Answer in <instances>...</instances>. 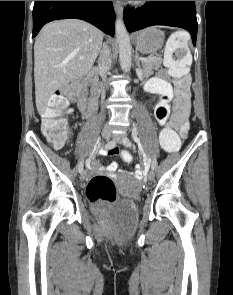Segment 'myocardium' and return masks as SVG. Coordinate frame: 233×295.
<instances>
[{
    "label": "myocardium",
    "mask_w": 233,
    "mask_h": 295,
    "mask_svg": "<svg viewBox=\"0 0 233 295\" xmlns=\"http://www.w3.org/2000/svg\"><path fill=\"white\" fill-rule=\"evenodd\" d=\"M132 3L136 4V5H140V4H144L147 1H131Z\"/></svg>",
    "instance_id": "obj_1"
}]
</instances>
